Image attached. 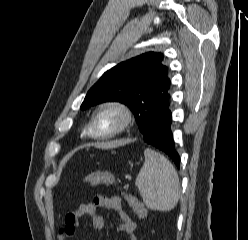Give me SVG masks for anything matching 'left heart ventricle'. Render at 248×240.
Masks as SVG:
<instances>
[{
	"label": "left heart ventricle",
	"instance_id": "obj_1",
	"mask_svg": "<svg viewBox=\"0 0 248 240\" xmlns=\"http://www.w3.org/2000/svg\"><path fill=\"white\" fill-rule=\"evenodd\" d=\"M121 123V116L112 109L101 111L95 119L94 130L98 134H104L113 131Z\"/></svg>",
	"mask_w": 248,
	"mask_h": 240
}]
</instances>
